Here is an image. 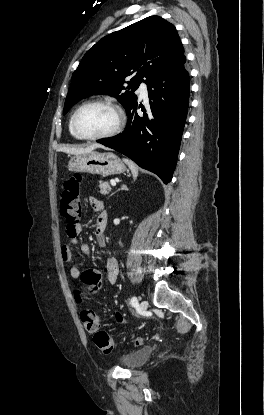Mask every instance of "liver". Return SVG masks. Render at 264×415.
Instances as JSON below:
<instances>
[{"instance_id": "6515ba94", "label": "liver", "mask_w": 264, "mask_h": 415, "mask_svg": "<svg viewBox=\"0 0 264 415\" xmlns=\"http://www.w3.org/2000/svg\"><path fill=\"white\" fill-rule=\"evenodd\" d=\"M97 148H104L102 145L93 144L87 147H61L58 151L65 152L67 154L77 155L94 151Z\"/></svg>"}]
</instances>
